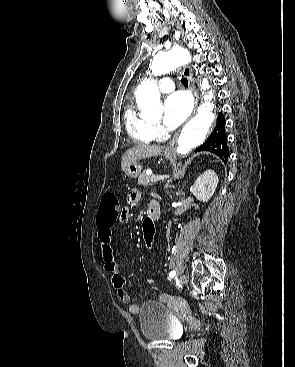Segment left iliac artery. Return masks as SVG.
<instances>
[{"mask_svg": "<svg viewBox=\"0 0 295 367\" xmlns=\"http://www.w3.org/2000/svg\"><path fill=\"white\" fill-rule=\"evenodd\" d=\"M174 276H176V271L173 270L169 273V278H173Z\"/></svg>", "mask_w": 295, "mask_h": 367, "instance_id": "44dca946", "label": "left iliac artery"}]
</instances>
